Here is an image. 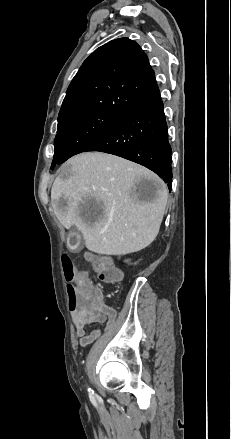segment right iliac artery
I'll list each match as a JSON object with an SVG mask.
<instances>
[{"label":"right iliac artery","instance_id":"1","mask_svg":"<svg viewBox=\"0 0 231 439\" xmlns=\"http://www.w3.org/2000/svg\"><path fill=\"white\" fill-rule=\"evenodd\" d=\"M88 392H89V396H90V398H94V397H93V394H94L93 390H91L90 388H88Z\"/></svg>","mask_w":231,"mask_h":439}]
</instances>
